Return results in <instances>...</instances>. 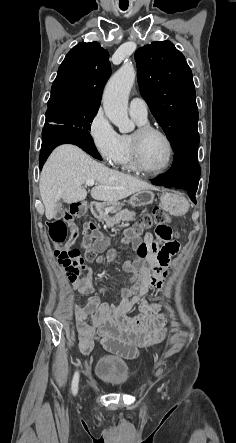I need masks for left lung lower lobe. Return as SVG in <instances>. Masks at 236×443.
<instances>
[{
    "instance_id": "obj_1",
    "label": "left lung lower lobe",
    "mask_w": 236,
    "mask_h": 443,
    "mask_svg": "<svg viewBox=\"0 0 236 443\" xmlns=\"http://www.w3.org/2000/svg\"><path fill=\"white\" fill-rule=\"evenodd\" d=\"M199 137L182 143L174 152L173 166L169 171L156 178L152 184L187 190L191 200L196 203L195 193L198 188L200 166L197 148Z\"/></svg>"
}]
</instances>
